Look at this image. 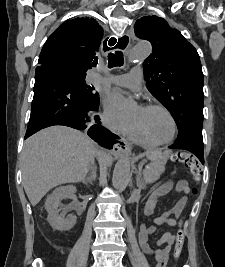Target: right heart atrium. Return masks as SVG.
Segmentation results:
<instances>
[{"mask_svg":"<svg viewBox=\"0 0 225 267\" xmlns=\"http://www.w3.org/2000/svg\"><path fill=\"white\" fill-rule=\"evenodd\" d=\"M102 120L109 129L123 135L132 127L131 122L123 119L107 101L103 102Z\"/></svg>","mask_w":225,"mask_h":267,"instance_id":"right-heart-atrium-1","label":"right heart atrium"}]
</instances>
